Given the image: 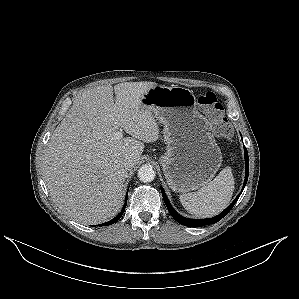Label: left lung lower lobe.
Wrapping results in <instances>:
<instances>
[{
	"label": "left lung lower lobe",
	"instance_id": "obj_1",
	"mask_svg": "<svg viewBox=\"0 0 299 299\" xmlns=\"http://www.w3.org/2000/svg\"><path fill=\"white\" fill-rule=\"evenodd\" d=\"M244 153H245V180H244V185L242 188V191L247 183L248 180V174H249V159H248V152L246 147L244 146ZM242 191L240 192V194L234 199V201L219 215L213 217V218H208V219H189V218H185L181 215H179L171 206V204L169 203L164 190L161 188V192H162V196L163 199L165 201V204L167 206L168 211L170 212V214L172 215V217L180 224L185 225V226H189V227H201V226H205V225H210V224H214L216 222H218L219 220H221L225 215H227V213L232 209V207L235 205V203L237 202L238 198L240 197Z\"/></svg>",
	"mask_w": 299,
	"mask_h": 299
}]
</instances>
